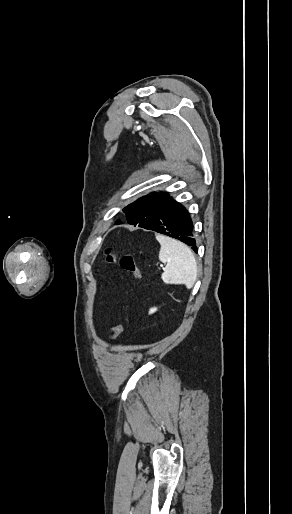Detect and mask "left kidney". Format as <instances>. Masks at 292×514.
Returning a JSON list of instances; mask_svg holds the SVG:
<instances>
[{
	"label": "left kidney",
	"instance_id": "1",
	"mask_svg": "<svg viewBox=\"0 0 292 514\" xmlns=\"http://www.w3.org/2000/svg\"><path fill=\"white\" fill-rule=\"evenodd\" d=\"M157 308H151L150 314H153V312H156Z\"/></svg>",
	"mask_w": 292,
	"mask_h": 514
}]
</instances>
